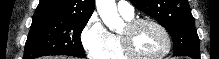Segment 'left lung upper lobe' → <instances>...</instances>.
<instances>
[{
  "instance_id": "5c2ea615",
  "label": "left lung upper lobe",
  "mask_w": 219,
  "mask_h": 59,
  "mask_svg": "<svg viewBox=\"0 0 219 59\" xmlns=\"http://www.w3.org/2000/svg\"><path fill=\"white\" fill-rule=\"evenodd\" d=\"M171 31L175 56H199V37L188 0H130Z\"/></svg>"
}]
</instances>
